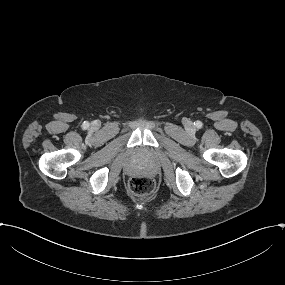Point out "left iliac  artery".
<instances>
[{"instance_id": "44dca946", "label": "left iliac artery", "mask_w": 285, "mask_h": 285, "mask_svg": "<svg viewBox=\"0 0 285 285\" xmlns=\"http://www.w3.org/2000/svg\"><path fill=\"white\" fill-rule=\"evenodd\" d=\"M194 125L197 127V128H202V126H203V124H202V122L201 121H196V122H194Z\"/></svg>"}]
</instances>
